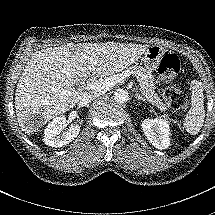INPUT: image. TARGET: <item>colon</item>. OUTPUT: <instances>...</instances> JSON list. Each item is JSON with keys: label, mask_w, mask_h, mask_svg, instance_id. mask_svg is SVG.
Segmentation results:
<instances>
[{"label": "colon", "mask_w": 215, "mask_h": 215, "mask_svg": "<svg viewBox=\"0 0 215 215\" xmlns=\"http://www.w3.org/2000/svg\"><path fill=\"white\" fill-rule=\"evenodd\" d=\"M180 71V60L176 54L168 53L161 59L158 74L161 86L166 81L176 78ZM163 99L169 107L175 110L186 111L189 109V102L184 93L177 89H166L163 91Z\"/></svg>", "instance_id": "5ec220e1"}]
</instances>
